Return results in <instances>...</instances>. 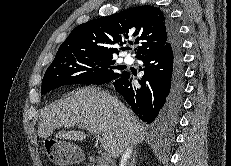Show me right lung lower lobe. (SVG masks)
<instances>
[{"label": "right lung lower lobe", "instance_id": "right-lung-lower-lobe-1", "mask_svg": "<svg viewBox=\"0 0 231 166\" xmlns=\"http://www.w3.org/2000/svg\"><path fill=\"white\" fill-rule=\"evenodd\" d=\"M168 27L169 42L157 52L138 58L144 63V76L138 80L141 86L133 84L129 72H122L112 83L156 134L176 124L184 88L181 39L176 25L169 19Z\"/></svg>", "mask_w": 231, "mask_h": 166}]
</instances>
